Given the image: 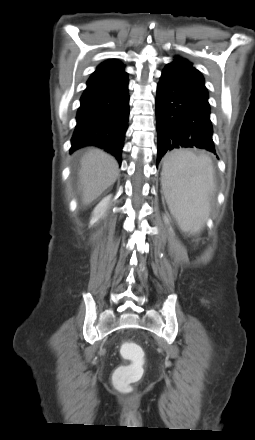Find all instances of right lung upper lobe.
<instances>
[{"label":"right lung upper lobe","mask_w":255,"mask_h":440,"mask_svg":"<svg viewBox=\"0 0 255 440\" xmlns=\"http://www.w3.org/2000/svg\"><path fill=\"white\" fill-rule=\"evenodd\" d=\"M121 66H123V64L117 60H114V59L105 61L97 67L96 71L91 75V77L89 79L104 75V74H106L116 68L121 67Z\"/></svg>","instance_id":"obj_1"}]
</instances>
